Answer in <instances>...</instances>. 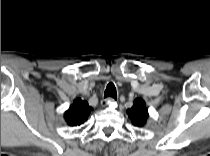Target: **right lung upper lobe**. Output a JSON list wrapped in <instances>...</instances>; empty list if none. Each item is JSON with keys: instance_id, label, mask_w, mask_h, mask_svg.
Segmentation results:
<instances>
[{"instance_id": "right-lung-upper-lobe-1", "label": "right lung upper lobe", "mask_w": 210, "mask_h": 156, "mask_svg": "<svg viewBox=\"0 0 210 156\" xmlns=\"http://www.w3.org/2000/svg\"><path fill=\"white\" fill-rule=\"evenodd\" d=\"M91 111L92 107L86 101L78 98L74 100L72 106L65 112L64 118L69 126H79L87 120Z\"/></svg>"}]
</instances>
